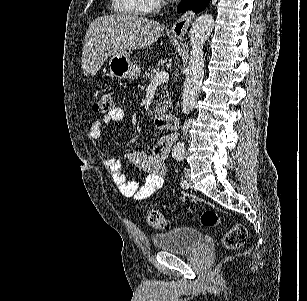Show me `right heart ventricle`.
I'll list each match as a JSON object with an SVG mask.
<instances>
[{
	"label": "right heart ventricle",
	"mask_w": 307,
	"mask_h": 301,
	"mask_svg": "<svg viewBox=\"0 0 307 301\" xmlns=\"http://www.w3.org/2000/svg\"><path fill=\"white\" fill-rule=\"evenodd\" d=\"M114 12L122 13V17H137L139 8H146L145 0H112Z\"/></svg>",
	"instance_id": "obj_1"
}]
</instances>
